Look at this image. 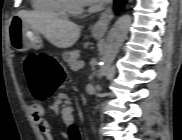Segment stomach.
I'll use <instances>...</instances> for the list:
<instances>
[{
	"label": "stomach",
	"mask_w": 182,
	"mask_h": 140,
	"mask_svg": "<svg viewBox=\"0 0 182 140\" xmlns=\"http://www.w3.org/2000/svg\"><path fill=\"white\" fill-rule=\"evenodd\" d=\"M11 45L19 50L25 51L30 48H40L41 38L37 31L31 29L27 22L18 16L11 19L9 29ZM95 38H99L100 35L94 34Z\"/></svg>",
	"instance_id": "0dacf381"
}]
</instances>
